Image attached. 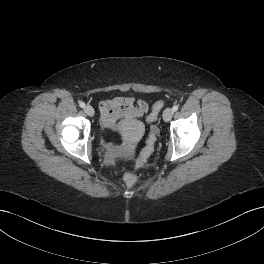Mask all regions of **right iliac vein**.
<instances>
[{"instance_id":"1","label":"right iliac vein","mask_w":264,"mask_h":264,"mask_svg":"<svg viewBox=\"0 0 264 264\" xmlns=\"http://www.w3.org/2000/svg\"><path fill=\"white\" fill-rule=\"evenodd\" d=\"M84 112L88 115V116H93L94 115V109L92 106L87 105L84 107Z\"/></svg>"}]
</instances>
